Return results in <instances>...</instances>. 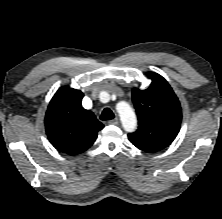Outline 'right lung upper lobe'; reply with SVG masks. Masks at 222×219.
Returning a JSON list of instances; mask_svg holds the SVG:
<instances>
[{"instance_id":"right-lung-upper-lobe-1","label":"right lung upper lobe","mask_w":222,"mask_h":219,"mask_svg":"<svg viewBox=\"0 0 222 219\" xmlns=\"http://www.w3.org/2000/svg\"><path fill=\"white\" fill-rule=\"evenodd\" d=\"M83 93L61 87L53 96L45 116V129L52 145L61 152L77 155L96 140L104 125L82 107Z\"/></svg>"}]
</instances>
